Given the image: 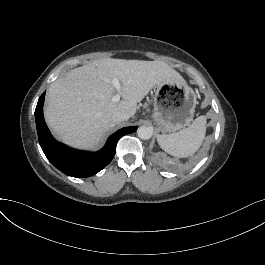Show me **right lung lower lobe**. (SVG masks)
Returning a JSON list of instances; mask_svg holds the SVG:
<instances>
[{"instance_id":"1","label":"right lung lower lobe","mask_w":265,"mask_h":265,"mask_svg":"<svg viewBox=\"0 0 265 265\" xmlns=\"http://www.w3.org/2000/svg\"><path fill=\"white\" fill-rule=\"evenodd\" d=\"M44 97L45 92L39 98L35 109L39 143L48 160L68 176L90 177L101 171L113 159L118 140L137 129L136 126H130L116 131L108 138L106 145L94 153L71 149L58 143L50 134L43 117Z\"/></svg>"}]
</instances>
